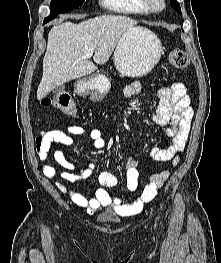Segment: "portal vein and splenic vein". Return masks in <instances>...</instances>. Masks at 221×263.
Returning <instances> with one entry per match:
<instances>
[{"label":"portal vein and splenic vein","mask_w":221,"mask_h":263,"mask_svg":"<svg viewBox=\"0 0 221 263\" xmlns=\"http://www.w3.org/2000/svg\"><path fill=\"white\" fill-rule=\"evenodd\" d=\"M94 51H95V48H94V47L90 48V49L88 50L87 56H88V57L92 56L93 53H94Z\"/></svg>","instance_id":"18ae733b"}]
</instances>
